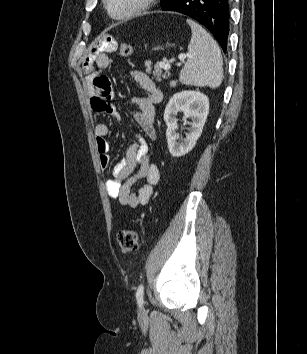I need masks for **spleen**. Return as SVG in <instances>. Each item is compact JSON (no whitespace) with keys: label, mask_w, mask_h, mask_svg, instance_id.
Masks as SVG:
<instances>
[{"label":"spleen","mask_w":307,"mask_h":354,"mask_svg":"<svg viewBox=\"0 0 307 354\" xmlns=\"http://www.w3.org/2000/svg\"><path fill=\"white\" fill-rule=\"evenodd\" d=\"M192 30L188 45L189 58L180 72L179 81L185 85L219 87L223 80L221 51L212 36L200 25L187 20ZM171 85L175 86L176 82Z\"/></svg>","instance_id":"spleen-1"}]
</instances>
